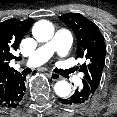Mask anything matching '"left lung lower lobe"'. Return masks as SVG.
Returning a JSON list of instances; mask_svg holds the SVG:
<instances>
[{"label": "left lung lower lobe", "instance_id": "0a47b994", "mask_svg": "<svg viewBox=\"0 0 117 117\" xmlns=\"http://www.w3.org/2000/svg\"><path fill=\"white\" fill-rule=\"evenodd\" d=\"M93 96L91 90H89L86 85H83V87L77 89L73 95L61 98L59 101L69 107H80L86 105Z\"/></svg>", "mask_w": 117, "mask_h": 117}]
</instances>
